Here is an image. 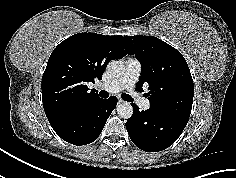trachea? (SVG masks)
Wrapping results in <instances>:
<instances>
[{"mask_svg":"<svg viewBox=\"0 0 236 178\" xmlns=\"http://www.w3.org/2000/svg\"><path fill=\"white\" fill-rule=\"evenodd\" d=\"M100 96L102 98H107L109 96V94L106 91L101 90L100 91ZM121 97H122L123 100L128 101V102H132V100H133L132 97L128 94H122Z\"/></svg>","mask_w":236,"mask_h":178,"instance_id":"3493384b","label":"trachea"}]
</instances>
